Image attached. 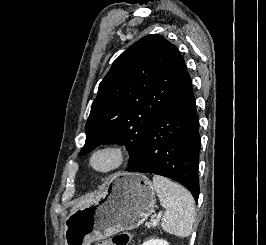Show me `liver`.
<instances>
[{
	"label": "liver",
	"mask_w": 266,
	"mask_h": 245,
	"mask_svg": "<svg viewBox=\"0 0 266 245\" xmlns=\"http://www.w3.org/2000/svg\"><path fill=\"white\" fill-rule=\"evenodd\" d=\"M104 193L100 195V197H96V199H93V197H85L84 201H81V203H77L75 207H72L71 213H75V211H78V209H81V207H88V205H92V203H96L98 199H101L103 197Z\"/></svg>",
	"instance_id": "obj_1"
}]
</instances>
